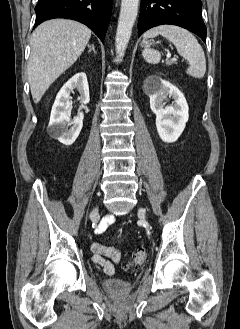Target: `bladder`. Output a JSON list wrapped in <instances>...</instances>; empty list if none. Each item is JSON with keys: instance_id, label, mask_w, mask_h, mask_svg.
Returning a JSON list of instances; mask_svg holds the SVG:
<instances>
[{"instance_id": "bladder-1", "label": "bladder", "mask_w": 240, "mask_h": 329, "mask_svg": "<svg viewBox=\"0 0 240 329\" xmlns=\"http://www.w3.org/2000/svg\"><path fill=\"white\" fill-rule=\"evenodd\" d=\"M102 285L107 292L112 294H125L131 290V284L119 278L106 279Z\"/></svg>"}]
</instances>
